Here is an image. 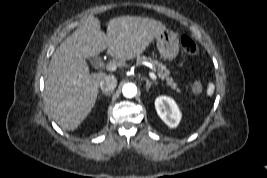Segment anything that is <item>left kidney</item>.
Masks as SVG:
<instances>
[{
    "mask_svg": "<svg viewBox=\"0 0 267 178\" xmlns=\"http://www.w3.org/2000/svg\"><path fill=\"white\" fill-rule=\"evenodd\" d=\"M155 108L159 117L171 128L178 126L181 113L175 101L167 96H159L155 100Z\"/></svg>",
    "mask_w": 267,
    "mask_h": 178,
    "instance_id": "left-kidney-1",
    "label": "left kidney"
}]
</instances>
